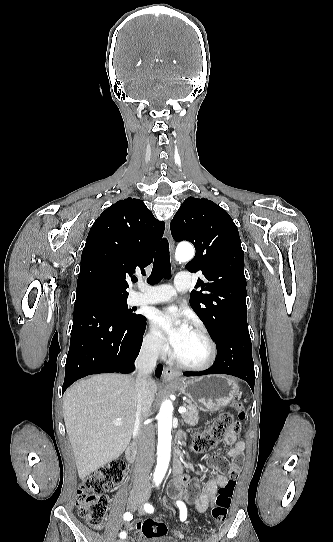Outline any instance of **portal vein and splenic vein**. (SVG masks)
Returning <instances> with one entry per match:
<instances>
[{
  "label": "portal vein and splenic vein",
  "instance_id": "portal-vein-and-splenic-vein-1",
  "mask_svg": "<svg viewBox=\"0 0 333 542\" xmlns=\"http://www.w3.org/2000/svg\"><path fill=\"white\" fill-rule=\"evenodd\" d=\"M179 414H186L187 408H184V406H180L178 410ZM114 426H121L122 422H113Z\"/></svg>",
  "mask_w": 333,
  "mask_h": 542
}]
</instances>
